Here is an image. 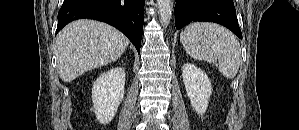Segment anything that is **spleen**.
<instances>
[{"label":"spleen","mask_w":299,"mask_h":130,"mask_svg":"<svg viewBox=\"0 0 299 130\" xmlns=\"http://www.w3.org/2000/svg\"><path fill=\"white\" fill-rule=\"evenodd\" d=\"M180 41L189 56L196 60L218 63L226 78L236 76L241 63V47L228 29L210 22H194L180 34Z\"/></svg>","instance_id":"obj_1"}]
</instances>
